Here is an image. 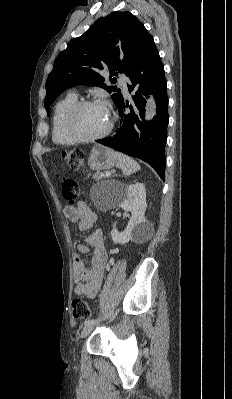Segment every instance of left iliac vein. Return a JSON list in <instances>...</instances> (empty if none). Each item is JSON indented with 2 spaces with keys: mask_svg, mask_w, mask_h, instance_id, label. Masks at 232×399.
I'll list each match as a JSON object with an SVG mask.
<instances>
[{
  "mask_svg": "<svg viewBox=\"0 0 232 399\" xmlns=\"http://www.w3.org/2000/svg\"><path fill=\"white\" fill-rule=\"evenodd\" d=\"M89 333H93V326L92 325H87V328L84 329L81 333H80V339L84 340L85 336L88 335Z\"/></svg>",
  "mask_w": 232,
  "mask_h": 399,
  "instance_id": "4c4485c4",
  "label": "left iliac vein"
}]
</instances>
